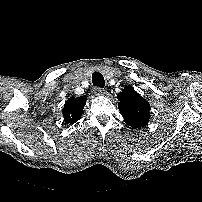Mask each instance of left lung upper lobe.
<instances>
[{"instance_id":"1","label":"left lung upper lobe","mask_w":202,"mask_h":202,"mask_svg":"<svg viewBox=\"0 0 202 202\" xmlns=\"http://www.w3.org/2000/svg\"><path fill=\"white\" fill-rule=\"evenodd\" d=\"M118 108L124 121L132 128L144 127L150 118V105L132 86H126L117 95Z\"/></svg>"}]
</instances>
